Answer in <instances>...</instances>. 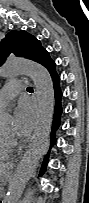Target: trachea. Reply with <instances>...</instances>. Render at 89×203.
I'll return each mask as SVG.
<instances>
[{"instance_id":"1","label":"trachea","mask_w":89,"mask_h":203,"mask_svg":"<svg viewBox=\"0 0 89 203\" xmlns=\"http://www.w3.org/2000/svg\"><path fill=\"white\" fill-rule=\"evenodd\" d=\"M27 91H33V88L28 87V88H27Z\"/></svg>"}]
</instances>
